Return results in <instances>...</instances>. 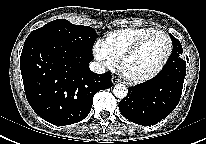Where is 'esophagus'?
Instances as JSON below:
<instances>
[{
    "label": "esophagus",
    "mask_w": 206,
    "mask_h": 144,
    "mask_svg": "<svg viewBox=\"0 0 206 144\" xmlns=\"http://www.w3.org/2000/svg\"><path fill=\"white\" fill-rule=\"evenodd\" d=\"M117 83H119V80L115 77L112 78V84L116 85Z\"/></svg>",
    "instance_id": "34e87169"
}]
</instances>
